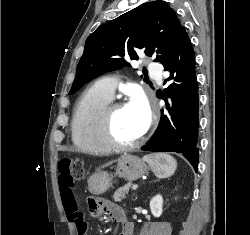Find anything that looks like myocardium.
<instances>
[{
    "label": "myocardium",
    "mask_w": 250,
    "mask_h": 235,
    "mask_svg": "<svg viewBox=\"0 0 250 235\" xmlns=\"http://www.w3.org/2000/svg\"><path fill=\"white\" fill-rule=\"evenodd\" d=\"M127 105L123 102H110L101 113L100 118V135L105 144L114 151H129L140 146L145 136L141 135L137 140L130 143H122L118 141L113 133V120L116 112Z\"/></svg>",
    "instance_id": "myocardium-1"
}]
</instances>
